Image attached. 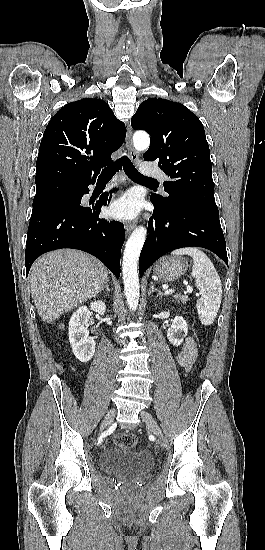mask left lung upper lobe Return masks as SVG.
I'll return each instance as SVG.
<instances>
[{
    "label": "left lung upper lobe",
    "instance_id": "obj_1",
    "mask_svg": "<svg viewBox=\"0 0 265 550\" xmlns=\"http://www.w3.org/2000/svg\"><path fill=\"white\" fill-rule=\"evenodd\" d=\"M131 125L151 136L144 160H157L171 178L164 183L169 196L152 194L150 200L164 208L190 203L219 213L214 199L209 146L198 117L180 103L148 98L139 105Z\"/></svg>",
    "mask_w": 265,
    "mask_h": 550
}]
</instances>
